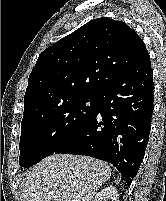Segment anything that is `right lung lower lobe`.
I'll use <instances>...</instances> for the list:
<instances>
[{"label":"right lung lower lobe","mask_w":166,"mask_h":201,"mask_svg":"<svg viewBox=\"0 0 166 201\" xmlns=\"http://www.w3.org/2000/svg\"><path fill=\"white\" fill-rule=\"evenodd\" d=\"M153 90V71L146 53L99 92L90 120L53 154L86 155L108 161L130 186L148 144Z\"/></svg>","instance_id":"98d812e1"}]
</instances>
